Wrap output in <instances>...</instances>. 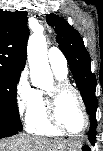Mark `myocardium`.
<instances>
[{
	"label": "myocardium",
	"mask_w": 103,
	"mask_h": 151,
	"mask_svg": "<svg viewBox=\"0 0 103 151\" xmlns=\"http://www.w3.org/2000/svg\"><path fill=\"white\" fill-rule=\"evenodd\" d=\"M68 91L75 94L83 111L84 126L82 130L79 132L70 131L65 126H63L58 119V115H57L58 100L63 93ZM45 102H46L47 120L55 130L60 131L63 134L79 136L82 135L88 129L89 113L84 98L82 97L79 90L74 86H72L71 84H69L68 82L57 80L52 85V87L45 92Z\"/></svg>",
	"instance_id": "f54148a6"
}]
</instances>
